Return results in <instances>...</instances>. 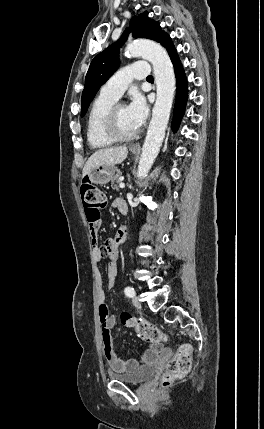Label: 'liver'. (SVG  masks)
<instances>
[{
	"label": "liver",
	"mask_w": 264,
	"mask_h": 429,
	"mask_svg": "<svg viewBox=\"0 0 264 429\" xmlns=\"http://www.w3.org/2000/svg\"><path fill=\"white\" fill-rule=\"evenodd\" d=\"M128 155L126 146L104 148L93 153L87 160L82 175H87L92 169L100 165H115L123 162Z\"/></svg>",
	"instance_id": "obj_1"
}]
</instances>
